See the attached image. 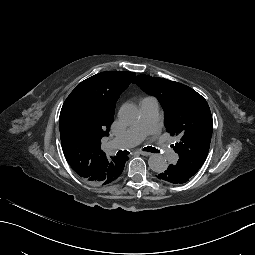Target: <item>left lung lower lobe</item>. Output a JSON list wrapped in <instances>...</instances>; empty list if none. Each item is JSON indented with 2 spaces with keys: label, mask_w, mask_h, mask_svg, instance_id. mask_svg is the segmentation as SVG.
Instances as JSON below:
<instances>
[{
  "label": "left lung lower lobe",
  "mask_w": 255,
  "mask_h": 255,
  "mask_svg": "<svg viewBox=\"0 0 255 255\" xmlns=\"http://www.w3.org/2000/svg\"><path fill=\"white\" fill-rule=\"evenodd\" d=\"M157 178L162 182L168 181L172 184L182 185L183 183H186L188 180H190V175L177 171L176 166L168 165L157 175Z\"/></svg>",
  "instance_id": "1"
}]
</instances>
